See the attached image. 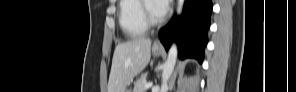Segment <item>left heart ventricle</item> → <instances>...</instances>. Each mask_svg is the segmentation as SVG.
<instances>
[{
  "label": "left heart ventricle",
  "instance_id": "b2bd125f",
  "mask_svg": "<svg viewBox=\"0 0 296 92\" xmlns=\"http://www.w3.org/2000/svg\"><path fill=\"white\" fill-rule=\"evenodd\" d=\"M151 5H150V10H151V13L153 15L154 18H159V16L155 13L154 11V8H153V2H150Z\"/></svg>",
  "mask_w": 296,
  "mask_h": 92
}]
</instances>
